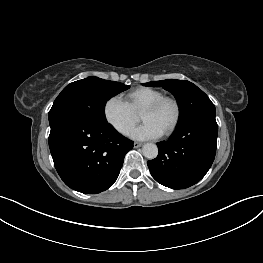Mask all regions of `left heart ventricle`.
<instances>
[{"mask_svg": "<svg viewBox=\"0 0 263 263\" xmlns=\"http://www.w3.org/2000/svg\"><path fill=\"white\" fill-rule=\"evenodd\" d=\"M174 116V108L172 104L166 103L162 107L153 111H142V121H151L155 123L163 132L171 123Z\"/></svg>", "mask_w": 263, "mask_h": 263, "instance_id": "left-heart-ventricle-1", "label": "left heart ventricle"}]
</instances>
